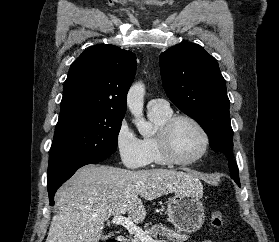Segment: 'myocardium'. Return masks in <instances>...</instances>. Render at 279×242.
<instances>
[{
	"label": "myocardium",
	"mask_w": 279,
	"mask_h": 242,
	"mask_svg": "<svg viewBox=\"0 0 279 242\" xmlns=\"http://www.w3.org/2000/svg\"><path fill=\"white\" fill-rule=\"evenodd\" d=\"M179 121H187L193 124L201 133L203 139V147L200 153L188 160H182L178 158L172 148V143H171L172 130L175 124ZM157 142H158L160 152L163 158L165 159V161L168 164L177 165V166H189L198 162L206 155L210 146V138L205 127L196 118L185 114L171 116L159 129L157 133Z\"/></svg>",
	"instance_id": "1"
}]
</instances>
